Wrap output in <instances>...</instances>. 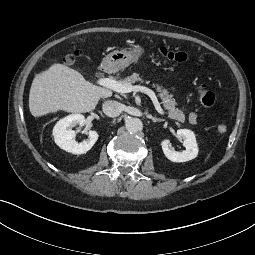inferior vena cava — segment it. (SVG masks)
I'll return each instance as SVG.
<instances>
[{
    "instance_id": "inferior-vena-cava-1",
    "label": "inferior vena cava",
    "mask_w": 255,
    "mask_h": 255,
    "mask_svg": "<svg viewBox=\"0 0 255 255\" xmlns=\"http://www.w3.org/2000/svg\"><path fill=\"white\" fill-rule=\"evenodd\" d=\"M103 112L109 117H117L122 112L121 104L117 101L108 100L102 105Z\"/></svg>"
}]
</instances>
